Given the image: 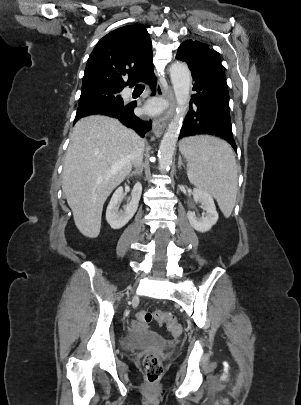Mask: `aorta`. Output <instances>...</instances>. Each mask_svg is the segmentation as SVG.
<instances>
[{"mask_svg": "<svg viewBox=\"0 0 301 405\" xmlns=\"http://www.w3.org/2000/svg\"><path fill=\"white\" fill-rule=\"evenodd\" d=\"M170 77L177 101V108L159 146L158 163L161 172L167 171L172 164L176 143L187 111L186 104L189 101L191 84L190 70L183 62L176 61L171 65Z\"/></svg>", "mask_w": 301, "mask_h": 405, "instance_id": "obj_1", "label": "aorta"}]
</instances>
